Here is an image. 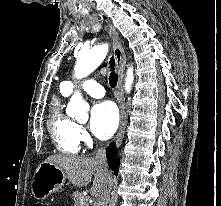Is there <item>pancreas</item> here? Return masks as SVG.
<instances>
[{
	"instance_id": "1",
	"label": "pancreas",
	"mask_w": 221,
	"mask_h": 206,
	"mask_svg": "<svg viewBox=\"0 0 221 206\" xmlns=\"http://www.w3.org/2000/svg\"><path fill=\"white\" fill-rule=\"evenodd\" d=\"M72 201L74 206H89L88 197L81 192H75L72 195Z\"/></svg>"
}]
</instances>
